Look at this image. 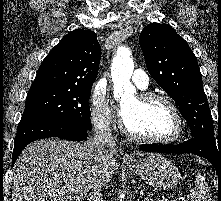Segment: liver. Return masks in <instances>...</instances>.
<instances>
[{"mask_svg":"<svg viewBox=\"0 0 221 201\" xmlns=\"http://www.w3.org/2000/svg\"><path fill=\"white\" fill-rule=\"evenodd\" d=\"M107 148L100 162L92 140L43 139L31 143L14 166L12 201H83L98 180L104 185L112 179L117 148Z\"/></svg>","mask_w":221,"mask_h":201,"instance_id":"1","label":"liver"}]
</instances>
